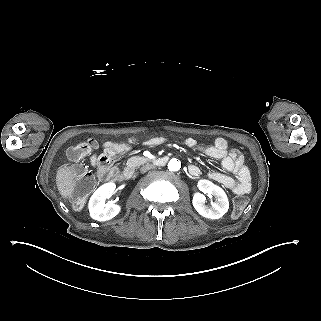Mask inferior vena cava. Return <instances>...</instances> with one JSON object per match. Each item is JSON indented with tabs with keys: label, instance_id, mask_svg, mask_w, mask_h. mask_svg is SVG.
I'll list each match as a JSON object with an SVG mask.
<instances>
[{
	"label": "inferior vena cava",
	"instance_id": "602c4592",
	"mask_svg": "<svg viewBox=\"0 0 321 321\" xmlns=\"http://www.w3.org/2000/svg\"><path fill=\"white\" fill-rule=\"evenodd\" d=\"M154 168H155L154 165H152V164H147V165L141 167L140 171H141V173H145V172H147L148 170L154 169Z\"/></svg>",
	"mask_w": 321,
	"mask_h": 321
}]
</instances>
